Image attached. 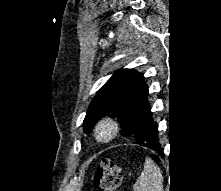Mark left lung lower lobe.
<instances>
[{
    "instance_id": "obj_1",
    "label": "left lung lower lobe",
    "mask_w": 221,
    "mask_h": 191,
    "mask_svg": "<svg viewBox=\"0 0 221 191\" xmlns=\"http://www.w3.org/2000/svg\"><path fill=\"white\" fill-rule=\"evenodd\" d=\"M147 96L148 88L144 78L141 74L137 73L132 86L131 95V113L135 121V130L140 133L142 139H146L151 143L148 147H145L162 155L158 126L157 123L153 121ZM157 140L158 143H156Z\"/></svg>"
}]
</instances>
